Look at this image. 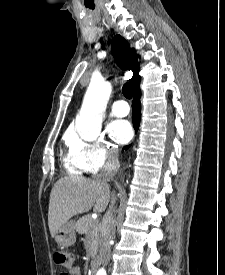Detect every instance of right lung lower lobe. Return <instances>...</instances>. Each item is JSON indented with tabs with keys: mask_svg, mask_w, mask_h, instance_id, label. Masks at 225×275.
<instances>
[{
	"mask_svg": "<svg viewBox=\"0 0 225 275\" xmlns=\"http://www.w3.org/2000/svg\"><path fill=\"white\" fill-rule=\"evenodd\" d=\"M141 91L138 88L133 90V104H132V121L135 131L138 130L141 118V105H140ZM130 145L124 147L128 149Z\"/></svg>",
	"mask_w": 225,
	"mask_h": 275,
	"instance_id": "obj_1",
	"label": "right lung lower lobe"
}]
</instances>
